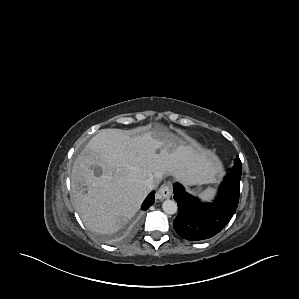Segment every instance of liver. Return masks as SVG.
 I'll use <instances>...</instances> for the list:
<instances>
[{"label":"liver","instance_id":"1","mask_svg":"<svg viewBox=\"0 0 299 299\" xmlns=\"http://www.w3.org/2000/svg\"><path fill=\"white\" fill-rule=\"evenodd\" d=\"M221 162L180 130L149 128L129 136L102 129L82 150L71 173L74 207L87 229L112 234L138 211L150 177L173 176L185 185L210 183ZM99 170V172H96Z\"/></svg>","mask_w":299,"mask_h":299}]
</instances>
